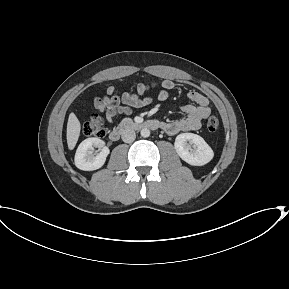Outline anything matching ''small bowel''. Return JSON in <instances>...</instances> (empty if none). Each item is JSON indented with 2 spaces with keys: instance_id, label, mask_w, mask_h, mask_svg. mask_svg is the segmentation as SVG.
Masks as SVG:
<instances>
[{
  "instance_id": "small-bowel-1",
  "label": "small bowel",
  "mask_w": 289,
  "mask_h": 289,
  "mask_svg": "<svg viewBox=\"0 0 289 289\" xmlns=\"http://www.w3.org/2000/svg\"><path fill=\"white\" fill-rule=\"evenodd\" d=\"M174 87L175 83L172 80H164L158 93V99L165 101ZM145 90L146 86L138 83L135 92H124L119 95L116 89L110 86L104 96L94 98L93 106L99 112H104L108 121L112 122L117 115H130L133 109L150 104L151 98L141 97ZM188 99L190 103L182 107L184 116L181 119L160 123L161 128L167 134L176 135L184 131L198 130L202 121L210 115L209 100L204 94L191 91Z\"/></svg>"
}]
</instances>
